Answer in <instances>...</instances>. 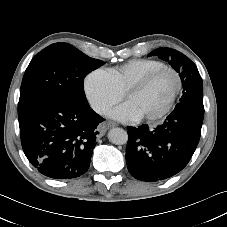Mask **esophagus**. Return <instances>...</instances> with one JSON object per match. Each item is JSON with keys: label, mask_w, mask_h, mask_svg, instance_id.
<instances>
[{"label": "esophagus", "mask_w": 227, "mask_h": 227, "mask_svg": "<svg viewBox=\"0 0 227 227\" xmlns=\"http://www.w3.org/2000/svg\"><path fill=\"white\" fill-rule=\"evenodd\" d=\"M108 126H109V127H115V126H117V124H116L115 122H111V121H110V122H108ZM100 133H101V135H103V133H104L103 130L100 131Z\"/></svg>", "instance_id": "obj_1"}]
</instances>
